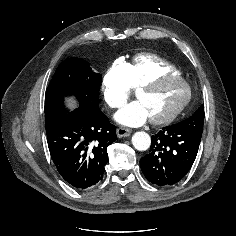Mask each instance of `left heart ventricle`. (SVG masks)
<instances>
[{
  "label": "left heart ventricle",
  "mask_w": 236,
  "mask_h": 236,
  "mask_svg": "<svg viewBox=\"0 0 236 236\" xmlns=\"http://www.w3.org/2000/svg\"><path fill=\"white\" fill-rule=\"evenodd\" d=\"M185 86L178 81H165L156 88L142 92L138 99L146 107L150 118L170 113L185 97Z\"/></svg>",
  "instance_id": "left-heart-ventricle-1"
}]
</instances>
